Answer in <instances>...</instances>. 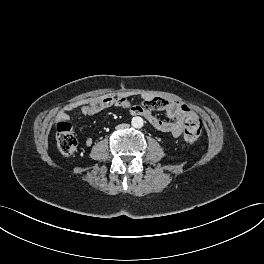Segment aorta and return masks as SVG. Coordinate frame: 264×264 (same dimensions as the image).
<instances>
[{
	"label": "aorta",
	"mask_w": 264,
	"mask_h": 264,
	"mask_svg": "<svg viewBox=\"0 0 264 264\" xmlns=\"http://www.w3.org/2000/svg\"><path fill=\"white\" fill-rule=\"evenodd\" d=\"M131 124L134 128H141L144 125V121L141 117L137 116L132 118Z\"/></svg>",
	"instance_id": "obj_1"
}]
</instances>
